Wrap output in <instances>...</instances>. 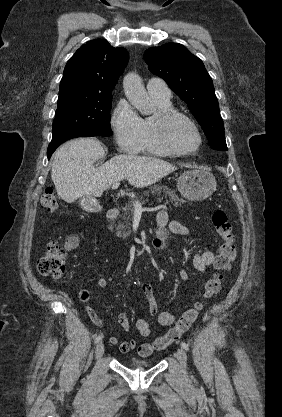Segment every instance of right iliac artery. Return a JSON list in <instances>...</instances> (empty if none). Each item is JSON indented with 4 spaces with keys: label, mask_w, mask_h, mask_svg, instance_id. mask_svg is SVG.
Segmentation results:
<instances>
[{
    "label": "right iliac artery",
    "mask_w": 282,
    "mask_h": 417,
    "mask_svg": "<svg viewBox=\"0 0 282 417\" xmlns=\"http://www.w3.org/2000/svg\"><path fill=\"white\" fill-rule=\"evenodd\" d=\"M102 338H103V334L101 333V334H99V335L95 338V344H97V343L101 342V341H102Z\"/></svg>",
    "instance_id": "right-iliac-artery-1"
}]
</instances>
